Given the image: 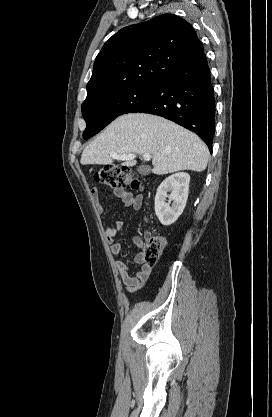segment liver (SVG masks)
<instances>
[{
  "instance_id": "obj_1",
  "label": "liver",
  "mask_w": 272,
  "mask_h": 417,
  "mask_svg": "<svg viewBox=\"0 0 272 417\" xmlns=\"http://www.w3.org/2000/svg\"><path fill=\"white\" fill-rule=\"evenodd\" d=\"M145 154L153 157L152 172L156 175L181 170L202 172L206 169L209 150L194 133L162 117L130 113L115 119L89 143L81 155L82 165H110V152ZM136 160L121 165L131 167Z\"/></svg>"
}]
</instances>
